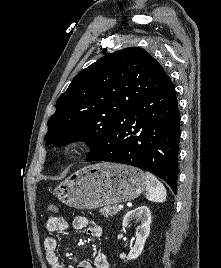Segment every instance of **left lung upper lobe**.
Segmentation results:
<instances>
[{
  "label": "left lung upper lobe",
  "mask_w": 221,
  "mask_h": 268,
  "mask_svg": "<svg viewBox=\"0 0 221 268\" xmlns=\"http://www.w3.org/2000/svg\"><path fill=\"white\" fill-rule=\"evenodd\" d=\"M171 82L145 50L125 48L108 54L79 72L58 98L48 122V144L84 140L95 156L118 120L133 106Z\"/></svg>",
  "instance_id": "5c2ea615"
}]
</instances>
